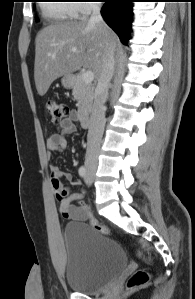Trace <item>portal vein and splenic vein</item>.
<instances>
[{
    "mask_svg": "<svg viewBox=\"0 0 195 299\" xmlns=\"http://www.w3.org/2000/svg\"><path fill=\"white\" fill-rule=\"evenodd\" d=\"M73 52H76V49H72ZM82 80L85 82V83H91L93 80H94V73L90 70L84 72L82 74Z\"/></svg>",
    "mask_w": 195,
    "mask_h": 299,
    "instance_id": "portal-vein-and-splenic-vein-1",
    "label": "portal vein and splenic vein"
}]
</instances>
